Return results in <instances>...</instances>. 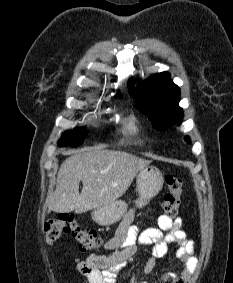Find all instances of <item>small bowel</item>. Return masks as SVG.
<instances>
[{
  "mask_svg": "<svg viewBox=\"0 0 233 283\" xmlns=\"http://www.w3.org/2000/svg\"><path fill=\"white\" fill-rule=\"evenodd\" d=\"M135 209L131 208L120 222L114 236L105 244L106 250H114L110 255H88L77 260L78 271L85 276V283H116L123 266L138 253L140 248L151 246V256L142 263V271L150 273L157 259L167 256L168 246L175 245V259L181 265L179 272L170 271L163 280L170 283H186L194 273L198 259L194 255V242L187 239L182 230V219L166 215L158 217L157 228H147L140 232L133 224ZM130 283H147L134 277Z\"/></svg>",
  "mask_w": 233,
  "mask_h": 283,
  "instance_id": "1",
  "label": "small bowel"
}]
</instances>
